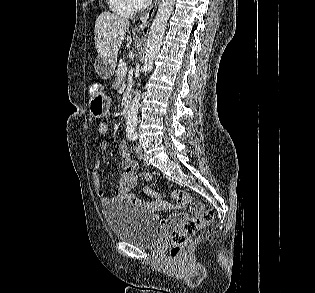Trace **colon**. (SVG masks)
Masks as SVG:
<instances>
[{
    "mask_svg": "<svg viewBox=\"0 0 315 293\" xmlns=\"http://www.w3.org/2000/svg\"><path fill=\"white\" fill-rule=\"evenodd\" d=\"M97 130L99 134L105 135L108 131V125L105 122H101L98 125ZM171 198L180 205H185L192 201L191 197L180 189L173 190ZM194 210L196 212L201 211L200 215L183 219L171 230V247L169 256L173 261H177L182 257L184 249L193 233L214 221L215 215L212 210H202V206L200 204H195Z\"/></svg>",
    "mask_w": 315,
    "mask_h": 293,
    "instance_id": "colon-1",
    "label": "colon"
}]
</instances>
